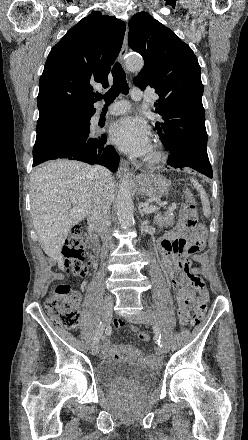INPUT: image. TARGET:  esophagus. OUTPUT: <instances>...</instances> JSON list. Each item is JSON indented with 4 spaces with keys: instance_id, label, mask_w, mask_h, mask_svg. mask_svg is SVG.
<instances>
[{
    "instance_id": "1",
    "label": "esophagus",
    "mask_w": 248,
    "mask_h": 440,
    "mask_svg": "<svg viewBox=\"0 0 248 440\" xmlns=\"http://www.w3.org/2000/svg\"><path fill=\"white\" fill-rule=\"evenodd\" d=\"M127 52H128V27H127V24H126V31H125V35H124L123 45H122V48H121V51H120V54H119V61L121 63H123ZM128 170H129V163H128V161L122 159L120 161V164H119L118 173L119 174H125V173L128 172Z\"/></svg>"
}]
</instances>
